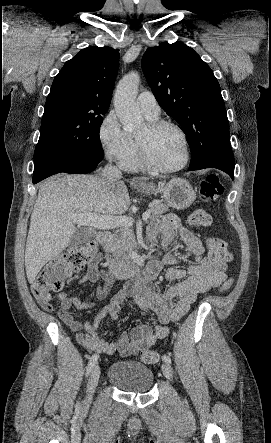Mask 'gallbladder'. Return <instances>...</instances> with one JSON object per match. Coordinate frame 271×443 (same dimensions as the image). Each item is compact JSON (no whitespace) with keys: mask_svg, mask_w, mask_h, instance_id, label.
<instances>
[{"mask_svg":"<svg viewBox=\"0 0 271 443\" xmlns=\"http://www.w3.org/2000/svg\"><path fill=\"white\" fill-rule=\"evenodd\" d=\"M94 235L95 233H89V231H75L69 241V247H75V245H80V243H86V241L92 239Z\"/></svg>","mask_w":271,"mask_h":443,"instance_id":"gallbladder-1","label":"gallbladder"}]
</instances>
